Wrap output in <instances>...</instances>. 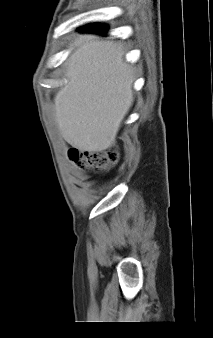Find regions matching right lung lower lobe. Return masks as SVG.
Here are the masks:
<instances>
[{"label": "right lung lower lobe", "instance_id": "obj_1", "mask_svg": "<svg viewBox=\"0 0 213 338\" xmlns=\"http://www.w3.org/2000/svg\"><path fill=\"white\" fill-rule=\"evenodd\" d=\"M106 25L101 24H89L80 28L82 32H95L99 34H105Z\"/></svg>", "mask_w": 213, "mask_h": 338}]
</instances>
